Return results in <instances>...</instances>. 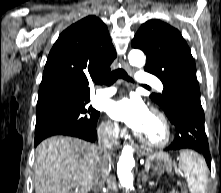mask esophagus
Wrapping results in <instances>:
<instances>
[{"label": "esophagus", "mask_w": 221, "mask_h": 193, "mask_svg": "<svg viewBox=\"0 0 221 193\" xmlns=\"http://www.w3.org/2000/svg\"><path fill=\"white\" fill-rule=\"evenodd\" d=\"M122 67H123L126 71H131L130 65H129L127 62H125V61L122 62Z\"/></svg>", "instance_id": "34e87169"}]
</instances>
